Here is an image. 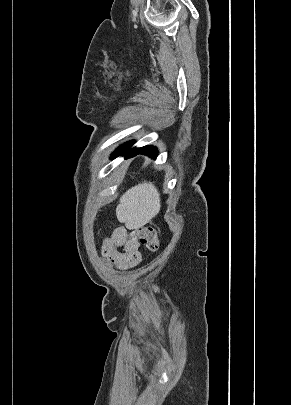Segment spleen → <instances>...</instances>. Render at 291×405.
<instances>
[{
  "mask_svg": "<svg viewBox=\"0 0 291 405\" xmlns=\"http://www.w3.org/2000/svg\"><path fill=\"white\" fill-rule=\"evenodd\" d=\"M160 194L151 182H142L120 198L116 213L119 220L148 223L160 211Z\"/></svg>",
  "mask_w": 291,
  "mask_h": 405,
  "instance_id": "3e777b00",
  "label": "spleen"
}]
</instances>
